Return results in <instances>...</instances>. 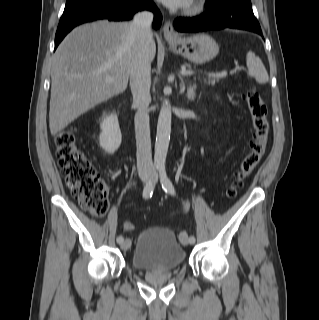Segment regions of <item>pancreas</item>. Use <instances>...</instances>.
I'll return each instance as SVG.
<instances>
[{"label":"pancreas","instance_id":"obj_1","mask_svg":"<svg viewBox=\"0 0 319 320\" xmlns=\"http://www.w3.org/2000/svg\"><path fill=\"white\" fill-rule=\"evenodd\" d=\"M187 67H190L189 64H186ZM221 78H215V77H211V76H204L203 77V82L205 84H211V85H215L216 82H218V80Z\"/></svg>","mask_w":319,"mask_h":320}]
</instances>
